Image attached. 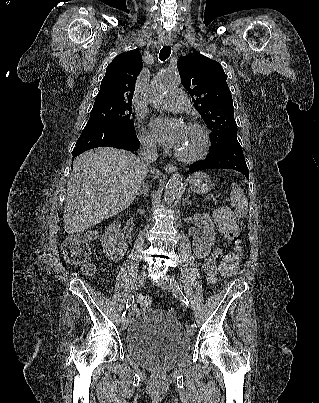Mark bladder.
<instances>
[{"label":"bladder","mask_w":319,"mask_h":403,"mask_svg":"<svg viewBox=\"0 0 319 403\" xmlns=\"http://www.w3.org/2000/svg\"><path fill=\"white\" fill-rule=\"evenodd\" d=\"M125 346L129 356L142 367L166 371L189 356L191 342L179 320L164 311L147 308L133 315Z\"/></svg>","instance_id":"31cf9c89"}]
</instances>
